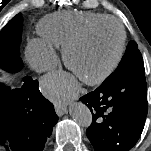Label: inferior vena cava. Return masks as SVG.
I'll use <instances>...</instances> for the list:
<instances>
[{
	"mask_svg": "<svg viewBox=\"0 0 151 151\" xmlns=\"http://www.w3.org/2000/svg\"><path fill=\"white\" fill-rule=\"evenodd\" d=\"M52 67H54V64L52 63V62H50V61H46L45 63H44V68L47 70V69H50V68H52Z\"/></svg>",
	"mask_w": 151,
	"mask_h": 151,
	"instance_id": "obj_1",
	"label": "inferior vena cava"
}]
</instances>
